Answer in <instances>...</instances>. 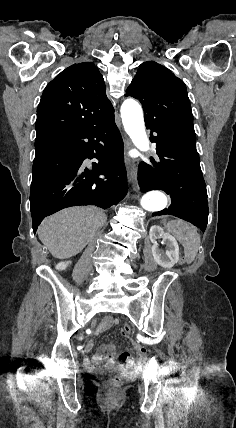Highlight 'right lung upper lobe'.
Listing matches in <instances>:
<instances>
[{
	"instance_id": "right-lung-upper-lobe-1",
	"label": "right lung upper lobe",
	"mask_w": 236,
	"mask_h": 428,
	"mask_svg": "<svg viewBox=\"0 0 236 428\" xmlns=\"http://www.w3.org/2000/svg\"><path fill=\"white\" fill-rule=\"evenodd\" d=\"M114 108L102 75L92 62L71 65L45 88L36 120V141L76 131L106 120Z\"/></svg>"
}]
</instances>
